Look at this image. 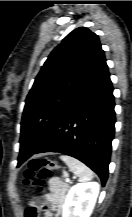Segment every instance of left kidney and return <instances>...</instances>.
Masks as SVG:
<instances>
[{
  "label": "left kidney",
  "mask_w": 132,
  "mask_h": 217,
  "mask_svg": "<svg viewBox=\"0 0 132 217\" xmlns=\"http://www.w3.org/2000/svg\"><path fill=\"white\" fill-rule=\"evenodd\" d=\"M99 189L97 182L74 185L67 194L62 217H89L95 206Z\"/></svg>",
  "instance_id": "5707ae66"
}]
</instances>
